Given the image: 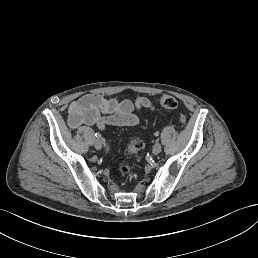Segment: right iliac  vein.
<instances>
[{
	"instance_id": "obj_1",
	"label": "right iliac vein",
	"mask_w": 258,
	"mask_h": 258,
	"mask_svg": "<svg viewBox=\"0 0 258 258\" xmlns=\"http://www.w3.org/2000/svg\"><path fill=\"white\" fill-rule=\"evenodd\" d=\"M94 145H95L96 148H98V150H103V144H102L100 139H95L94 140Z\"/></svg>"
}]
</instances>
